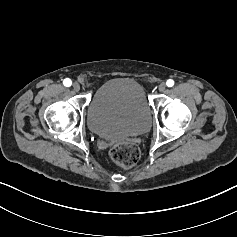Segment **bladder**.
Here are the masks:
<instances>
[{"mask_svg": "<svg viewBox=\"0 0 237 237\" xmlns=\"http://www.w3.org/2000/svg\"><path fill=\"white\" fill-rule=\"evenodd\" d=\"M90 131L103 138L140 135L151 125V107L143 86L133 78L117 77L101 84L86 110Z\"/></svg>", "mask_w": 237, "mask_h": 237, "instance_id": "1", "label": "bladder"}]
</instances>
